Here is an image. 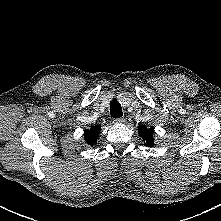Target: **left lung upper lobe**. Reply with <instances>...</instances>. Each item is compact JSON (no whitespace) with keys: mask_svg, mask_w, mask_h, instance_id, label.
<instances>
[{"mask_svg":"<svg viewBox=\"0 0 221 221\" xmlns=\"http://www.w3.org/2000/svg\"><path fill=\"white\" fill-rule=\"evenodd\" d=\"M153 131H154L153 127L147 129L146 127L142 126V127H139V129H138V134L144 140V144L147 146H150V147L154 145V140L152 137Z\"/></svg>","mask_w":221,"mask_h":221,"instance_id":"obj_1","label":"left lung upper lobe"}]
</instances>
